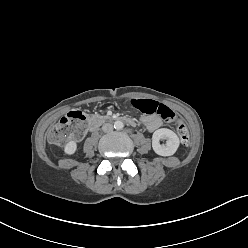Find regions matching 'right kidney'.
I'll return each instance as SVG.
<instances>
[{"instance_id": "obj_1", "label": "right kidney", "mask_w": 248, "mask_h": 248, "mask_svg": "<svg viewBox=\"0 0 248 248\" xmlns=\"http://www.w3.org/2000/svg\"><path fill=\"white\" fill-rule=\"evenodd\" d=\"M77 150V143L75 141H69L68 143H66V145L64 146V152L68 155H72L76 152Z\"/></svg>"}]
</instances>
